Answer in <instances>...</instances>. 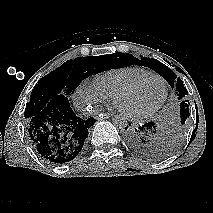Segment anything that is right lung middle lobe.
Instances as JSON below:
<instances>
[{
	"label": "right lung middle lobe",
	"mask_w": 213,
	"mask_h": 213,
	"mask_svg": "<svg viewBox=\"0 0 213 213\" xmlns=\"http://www.w3.org/2000/svg\"><path fill=\"white\" fill-rule=\"evenodd\" d=\"M105 56H87L68 60L56 68L35 85L30 102L26 105V120L38 114L52 99L58 95L70 97L81 80L111 68V60L118 53Z\"/></svg>",
	"instance_id": "right-lung-middle-lobe-1"
}]
</instances>
